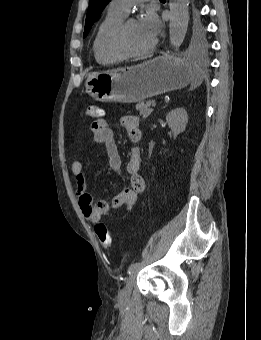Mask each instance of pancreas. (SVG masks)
Here are the masks:
<instances>
[{
  "mask_svg": "<svg viewBox=\"0 0 261 340\" xmlns=\"http://www.w3.org/2000/svg\"><path fill=\"white\" fill-rule=\"evenodd\" d=\"M153 102V100H149L146 102L140 101L137 103L136 110L139 111V114L143 118H147L153 112V109L151 108Z\"/></svg>",
  "mask_w": 261,
  "mask_h": 340,
  "instance_id": "cf45deb5",
  "label": "pancreas"
}]
</instances>
